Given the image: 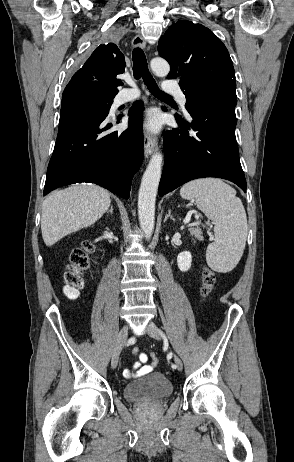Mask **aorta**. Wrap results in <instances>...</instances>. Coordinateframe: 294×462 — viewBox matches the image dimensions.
Instances as JSON below:
<instances>
[{"label":"aorta","instance_id":"1","mask_svg":"<svg viewBox=\"0 0 294 462\" xmlns=\"http://www.w3.org/2000/svg\"><path fill=\"white\" fill-rule=\"evenodd\" d=\"M151 69L159 77H165L170 71L168 62L162 58L151 60ZM163 157L155 152L143 174L138 195V216L140 227L146 237L152 236L155 223V201L162 174Z\"/></svg>","mask_w":294,"mask_h":462}]
</instances>
